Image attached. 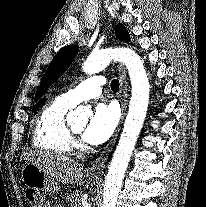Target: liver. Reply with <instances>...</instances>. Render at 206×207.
Segmentation results:
<instances>
[{
    "instance_id": "obj_1",
    "label": "liver",
    "mask_w": 206,
    "mask_h": 207,
    "mask_svg": "<svg viewBox=\"0 0 206 207\" xmlns=\"http://www.w3.org/2000/svg\"><path fill=\"white\" fill-rule=\"evenodd\" d=\"M25 158L49 174L53 179L65 184H73L83 176V167L73 159L51 151H37Z\"/></svg>"
}]
</instances>
